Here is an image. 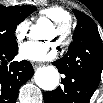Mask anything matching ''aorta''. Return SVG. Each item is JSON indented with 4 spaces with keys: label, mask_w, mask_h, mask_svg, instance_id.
<instances>
[{
    "label": "aorta",
    "mask_w": 103,
    "mask_h": 103,
    "mask_svg": "<svg viewBox=\"0 0 103 103\" xmlns=\"http://www.w3.org/2000/svg\"><path fill=\"white\" fill-rule=\"evenodd\" d=\"M36 84L43 90H54L59 83V72L53 66L39 68L34 76Z\"/></svg>",
    "instance_id": "aorta-1"
}]
</instances>
